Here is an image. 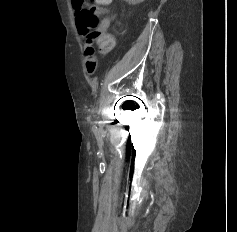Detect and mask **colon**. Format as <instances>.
<instances>
[{
  "label": "colon",
  "mask_w": 237,
  "mask_h": 232,
  "mask_svg": "<svg viewBox=\"0 0 237 232\" xmlns=\"http://www.w3.org/2000/svg\"><path fill=\"white\" fill-rule=\"evenodd\" d=\"M111 0H72L76 11V23L80 32L86 36L90 44L96 43L101 52H109L113 47V39L108 35L99 21L96 6L109 4Z\"/></svg>",
  "instance_id": "colon-1"
}]
</instances>
